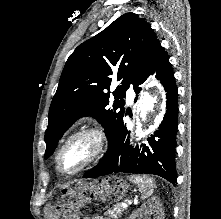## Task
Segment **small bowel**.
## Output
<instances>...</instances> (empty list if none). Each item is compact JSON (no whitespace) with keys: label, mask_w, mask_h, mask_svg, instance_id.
<instances>
[{"label":"small bowel","mask_w":221,"mask_h":219,"mask_svg":"<svg viewBox=\"0 0 221 219\" xmlns=\"http://www.w3.org/2000/svg\"><path fill=\"white\" fill-rule=\"evenodd\" d=\"M95 219H107V218L98 217V218H95Z\"/></svg>","instance_id":"1"}]
</instances>
